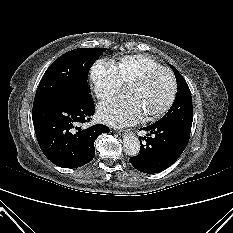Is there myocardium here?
<instances>
[{
    "label": "myocardium",
    "mask_w": 233,
    "mask_h": 233,
    "mask_svg": "<svg viewBox=\"0 0 233 233\" xmlns=\"http://www.w3.org/2000/svg\"><path fill=\"white\" fill-rule=\"evenodd\" d=\"M159 71H163L167 73L168 76L170 77L171 91H170L167 101L164 103L162 107H160L158 110L152 113L145 114V117L148 120L156 119L162 116L164 113H166L169 110V108L174 103L176 93H177V80H176L174 73L170 69L163 67V66L153 67V68H149L145 70L144 72H142L140 75H138L137 77H135L128 83V86L132 84L144 83L149 77H151L154 73L159 72Z\"/></svg>",
    "instance_id": "1"
}]
</instances>
